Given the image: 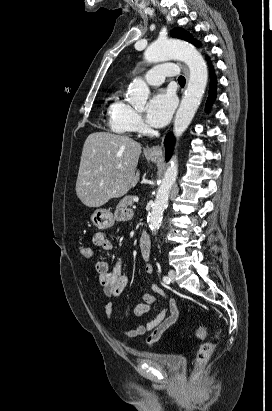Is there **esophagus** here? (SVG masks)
Returning <instances> with one entry per match:
<instances>
[{"label":"esophagus","instance_id":"obj_1","mask_svg":"<svg viewBox=\"0 0 272 411\" xmlns=\"http://www.w3.org/2000/svg\"><path fill=\"white\" fill-rule=\"evenodd\" d=\"M181 67H182L183 73L185 74L186 81L188 82V79H189L188 68L185 65H182ZM146 154L150 156H156V157L162 156V143L148 148L146 150Z\"/></svg>","mask_w":272,"mask_h":411}]
</instances>
